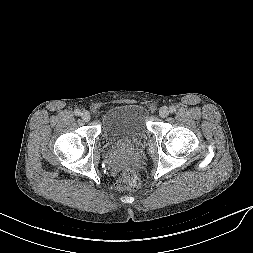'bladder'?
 Listing matches in <instances>:
<instances>
[{"label": "bladder", "mask_w": 253, "mask_h": 253, "mask_svg": "<svg viewBox=\"0 0 253 253\" xmlns=\"http://www.w3.org/2000/svg\"><path fill=\"white\" fill-rule=\"evenodd\" d=\"M148 112L138 103H122L102 118L101 130L110 147H130L143 142L148 134Z\"/></svg>", "instance_id": "bladder-1"}]
</instances>
